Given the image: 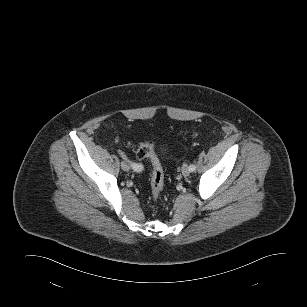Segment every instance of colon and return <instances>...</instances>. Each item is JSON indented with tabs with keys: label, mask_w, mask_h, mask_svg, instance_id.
Masks as SVG:
<instances>
[{
	"label": "colon",
	"mask_w": 307,
	"mask_h": 307,
	"mask_svg": "<svg viewBox=\"0 0 307 307\" xmlns=\"http://www.w3.org/2000/svg\"><path fill=\"white\" fill-rule=\"evenodd\" d=\"M191 134L196 135V132L193 130L191 131ZM136 156L139 159H148L152 164L151 189L153 198L157 200L164 187V173L155 154L152 142L147 141L138 144L136 148Z\"/></svg>",
	"instance_id": "5ec220e1"
}]
</instances>
